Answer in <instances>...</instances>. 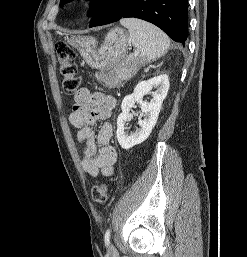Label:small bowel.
Here are the masks:
<instances>
[{"label": "small bowel", "instance_id": "1", "mask_svg": "<svg viewBox=\"0 0 247 257\" xmlns=\"http://www.w3.org/2000/svg\"><path fill=\"white\" fill-rule=\"evenodd\" d=\"M116 100L111 95L79 89L69 115V122L77 129V140L83 145L82 168L92 177L110 176L117 161V152L110 144L113 127L108 122ZM102 122L98 130L94 128Z\"/></svg>", "mask_w": 247, "mask_h": 257}]
</instances>
